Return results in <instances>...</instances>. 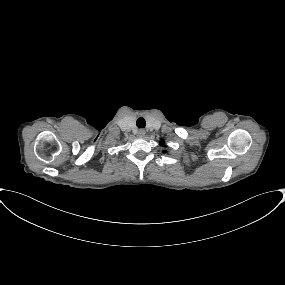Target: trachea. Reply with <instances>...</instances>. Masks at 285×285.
<instances>
[{
  "mask_svg": "<svg viewBox=\"0 0 285 285\" xmlns=\"http://www.w3.org/2000/svg\"><path fill=\"white\" fill-rule=\"evenodd\" d=\"M136 125L138 128H144L146 126L145 119L142 117L138 118L136 121Z\"/></svg>",
  "mask_w": 285,
  "mask_h": 285,
  "instance_id": "1",
  "label": "trachea"
}]
</instances>
